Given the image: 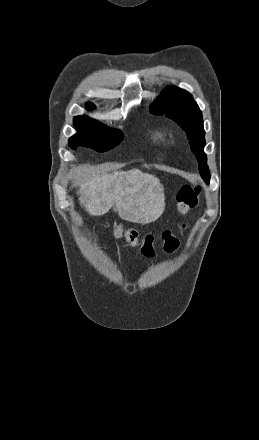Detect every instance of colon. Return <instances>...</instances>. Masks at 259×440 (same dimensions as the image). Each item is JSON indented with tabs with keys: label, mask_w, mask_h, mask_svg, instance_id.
<instances>
[{
	"label": "colon",
	"mask_w": 259,
	"mask_h": 440,
	"mask_svg": "<svg viewBox=\"0 0 259 440\" xmlns=\"http://www.w3.org/2000/svg\"><path fill=\"white\" fill-rule=\"evenodd\" d=\"M200 186L184 185L177 193V206L182 215H186L191 209H193L198 202L200 194ZM116 237H123L132 246L140 248L141 252L145 256H153L156 252V240L153 235L146 234L140 236L134 229H123L117 226L114 230ZM163 248L166 252H173L179 244L178 238L171 233V231H165L162 235Z\"/></svg>",
	"instance_id": "obj_1"
}]
</instances>
